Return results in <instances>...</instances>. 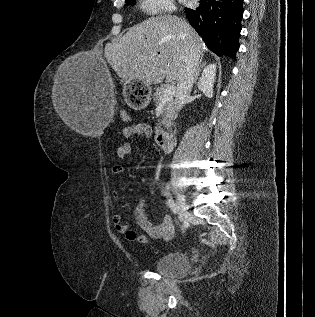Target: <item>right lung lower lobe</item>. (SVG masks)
Listing matches in <instances>:
<instances>
[{"instance_id":"obj_1","label":"right lung lower lobe","mask_w":315,"mask_h":317,"mask_svg":"<svg viewBox=\"0 0 315 317\" xmlns=\"http://www.w3.org/2000/svg\"><path fill=\"white\" fill-rule=\"evenodd\" d=\"M194 9L186 8L191 26L207 47L218 56L236 57L243 15V0H200Z\"/></svg>"}]
</instances>
